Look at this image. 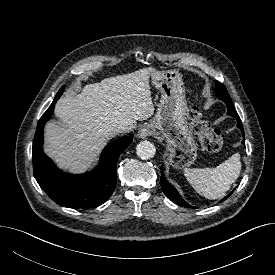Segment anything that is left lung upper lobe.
Listing matches in <instances>:
<instances>
[{"instance_id":"5c2ea615","label":"left lung upper lobe","mask_w":275,"mask_h":275,"mask_svg":"<svg viewBox=\"0 0 275 275\" xmlns=\"http://www.w3.org/2000/svg\"><path fill=\"white\" fill-rule=\"evenodd\" d=\"M216 91H217V95L218 97L223 100V99H229L230 96L227 92L226 87L221 84L220 82L216 81Z\"/></svg>"}]
</instances>
